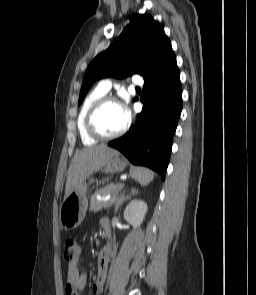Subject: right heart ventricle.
Instances as JSON below:
<instances>
[{"label":"right heart ventricle","instance_id":"right-heart-ventricle-1","mask_svg":"<svg viewBox=\"0 0 256 295\" xmlns=\"http://www.w3.org/2000/svg\"><path fill=\"white\" fill-rule=\"evenodd\" d=\"M105 95L106 93L102 92L97 87L94 90H92L83 101V104L78 115L77 126L81 141L84 145H94L97 142V140L91 137L86 131L85 118L88 110L93 105V103Z\"/></svg>","mask_w":256,"mask_h":295}]
</instances>
